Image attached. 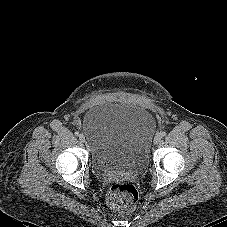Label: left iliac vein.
<instances>
[{
    "label": "left iliac vein",
    "mask_w": 227,
    "mask_h": 227,
    "mask_svg": "<svg viewBox=\"0 0 227 227\" xmlns=\"http://www.w3.org/2000/svg\"><path fill=\"white\" fill-rule=\"evenodd\" d=\"M161 139H162V135L160 133H157L154 137V143L155 144H158L161 142Z\"/></svg>",
    "instance_id": "left-iliac-vein-1"
}]
</instances>
